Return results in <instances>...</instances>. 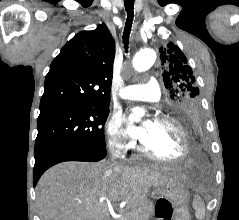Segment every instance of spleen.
Wrapping results in <instances>:
<instances>
[{"label": "spleen", "mask_w": 239, "mask_h": 220, "mask_svg": "<svg viewBox=\"0 0 239 220\" xmlns=\"http://www.w3.org/2000/svg\"><path fill=\"white\" fill-rule=\"evenodd\" d=\"M193 208L196 218L202 220L205 217V205L198 195L194 197Z\"/></svg>", "instance_id": "3e777b00"}]
</instances>
